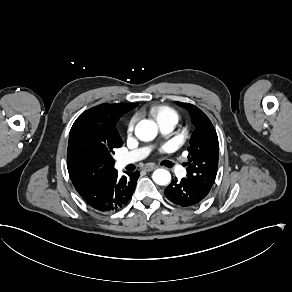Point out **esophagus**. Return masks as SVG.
Here are the masks:
<instances>
[{"instance_id":"34e87169","label":"esophagus","mask_w":292,"mask_h":292,"mask_svg":"<svg viewBox=\"0 0 292 292\" xmlns=\"http://www.w3.org/2000/svg\"><path fill=\"white\" fill-rule=\"evenodd\" d=\"M156 167L152 165H145L143 169L147 172L153 171Z\"/></svg>"}]
</instances>
